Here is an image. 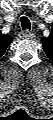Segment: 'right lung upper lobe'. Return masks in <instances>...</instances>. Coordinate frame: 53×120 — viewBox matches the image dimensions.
Wrapping results in <instances>:
<instances>
[{"label": "right lung upper lobe", "mask_w": 53, "mask_h": 120, "mask_svg": "<svg viewBox=\"0 0 53 120\" xmlns=\"http://www.w3.org/2000/svg\"><path fill=\"white\" fill-rule=\"evenodd\" d=\"M12 39L9 35L0 34V56L5 52L7 46L12 42Z\"/></svg>", "instance_id": "cb5924a9"}]
</instances>
